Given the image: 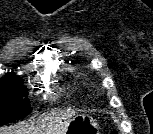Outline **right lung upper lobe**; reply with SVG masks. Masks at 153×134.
I'll use <instances>...</instances> for the list:
<instances>
[{
    "label": "right lung upper lobe",
    "instance_id": "cb5924a9",
    "mask_svg": "<svg viewBox=\"0 0 153 134\" xmlns=\"http://www.w3.org/2000/svg\"><path fill=\"white\" fill-rule=\"evenodd\" d=\"M2 79H18V77H14V75L7 74L6 77H4Z\"/></svg>",
    "mask_w": 153,
    "mask_h": 134
}]
</instances>
